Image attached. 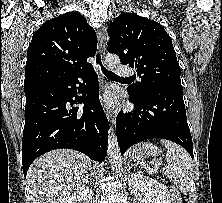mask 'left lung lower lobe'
<instances>
[{"label":"left lung lower lobe","mask_w":222,"mask_h":203,"mask_svg":"<svg viewBox=\"0 0 222 203\" xmlns=\"http://www.w3.org/2000/svg\"><path fill=\"white\" fill-rule=\"evenodd\" d=\"M128 93L134 110L132 113L120 112L116 118L117 140L122 155L136 143L162 138L180 144L194 158L182 89L160 86L141 96Z\"/></svg>","instance_id":"0a47b994"}]
</instances>
